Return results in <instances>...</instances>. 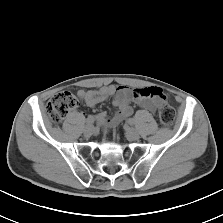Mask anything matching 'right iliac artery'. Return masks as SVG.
<instances>
[{
  "label": "right iliac artery",
  "instance_id": "right-iliac-artery-1",
  "mask_svg": "<svg viewBox=\"0 0 223 223\" xmlns=\"http://www.w3.org/2000/svg\"><path fill=\"white\" fill-rule=\"evenodd\" d=\"M95 119L93 116L88 117V119L86 120V126L88 125H92L94 123Z\"/></svg>",
  "mask_w": 223,
  "mask_h": 223
}]
</instances>
